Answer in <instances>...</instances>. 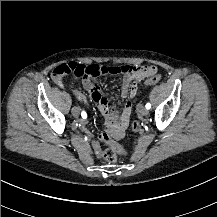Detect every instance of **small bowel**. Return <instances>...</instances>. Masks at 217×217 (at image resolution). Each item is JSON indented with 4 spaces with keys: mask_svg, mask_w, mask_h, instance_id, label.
Returning <instances> with one entry per match:
<instances>
[{
    "mask_svg": "<svg viewBox=\"0 0 217 217\" xmlns=\"http://www.w3.org/2000/svg\"><path fill=\"white\" fill-rule=\"evenodd\" d=\"M147 77L148 76H131L130 74H126L121 83V97H129L130 99H133L137 94V81L146 80ZM83 83L90 93L91 100L100 108L98 116L105 122L107 132H111L114 139L121 138L124 130L130 122L132 113L131 100L126 102L122 108L120 116H118V112L116 110L108 107L107 98L104 96L100 84L92 82L89 78H85ZM54 84L62 87L63 81H61L60 78H55ZM76 96L80 98L83 97L81 93H76ZM92 149L98 158L102 157V143H100L98 139L92 142Z\"/></svg>",
    "mask_w": 217,
    "mask_h": 217,
    "instance_id": "c3829d8e",
    "label": "small bowel"
}]
</instances>
